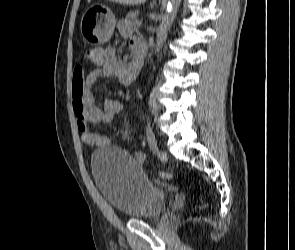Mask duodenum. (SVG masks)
<instances>
[{"mask_svg":"<svg viewBox=\"0 0 295 250\" xmlns=\"http://www.w3.org/2000/svg\"><path fill=\"white\" fill-rule=\"evenodd\" d=\"M145 57H146V50L144 49V47L138 46L136 48V53H135V58H136V61H137L138 70L141 69V67H142V65L144 63Z\"/></svg>","mask_w":295,"mask_h":250,"instance_id":"410a0bca","label":"duodenum"}]
</instances>
